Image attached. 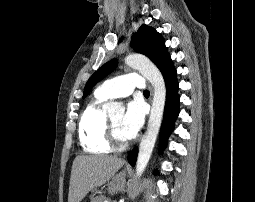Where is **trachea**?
<instances>
[{
	"mask_svg": "<svg viewBox=\"0 0 255 202\" xmlns=\"http://www.w3.org/2000/svg\"><path fill=\"white\" fill-rule=\"evenodd\" d=\"M144 94H145V95H149V91H148V90H145V91H144Z\"/></svg>",
	"mask_w": 255,
	"mask_h": 202,
	"instance_id": "1",
	"label": "trachea"
}]
</instances>
